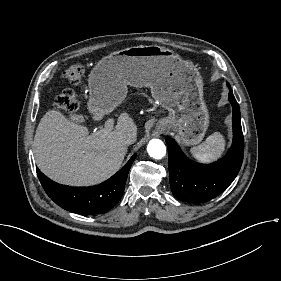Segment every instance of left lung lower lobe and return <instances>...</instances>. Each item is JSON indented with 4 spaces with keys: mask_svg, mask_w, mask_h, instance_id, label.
I'll return each instance as SVG.
<instances>
[{
    "mask_svg": "<svg viewBox=\"0 0 281 281\" xmlns=\"http://www.w3.org/2000/svg\"><path fill=\"white\" fill-rule=\"evenodd\" d=\"M229 101L233 109V143L224 158L212 164H199L188 159L173 139H166L171 190L181 201L203 203L215 198L233 182L241 168L244 138L239 104L231 89Z\"/></svg>",
    "mask_w": 281,
    "mask_h": 281,
    "instance_id": "left-lung-lower-lobe-1",
    "label": "left lung lower lobe"
}]
</instances>
